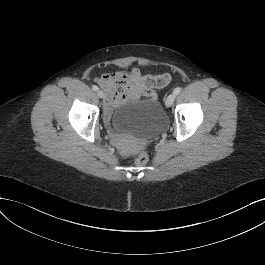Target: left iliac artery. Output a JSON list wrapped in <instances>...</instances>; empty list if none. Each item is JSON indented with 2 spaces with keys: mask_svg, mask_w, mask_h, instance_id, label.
<instances>
[{
  "mask_svg": "<svg viewBox=\"0 0 265 265\" xmlns=\"http://www.w3.org/2000/svg\"><path fill=\"white\" fill-rule=\"evenodd\" d=\"M180 91H181V87H177L175 88L174 93L177 95L180 93Z\"/></svg>",
  "mask_w": 265,
  "mask_h": 265,
  "instance_id": "44dca946",
  "label": "left iliac artery"
}]
</instances>
